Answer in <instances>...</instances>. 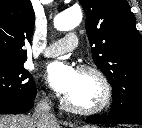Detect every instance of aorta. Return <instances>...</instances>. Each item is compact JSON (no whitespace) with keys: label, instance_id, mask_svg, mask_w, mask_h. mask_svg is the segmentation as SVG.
Here are the masks:
<instances>
[{"label":"aorta","instance_id":"obj_1","mask_svg":"<svg viewBox=\"0 0 142 128\" xmlns=\"http://www.w3.org/2000/svg\"><path fill=\"white\" fill-rule=\"evenodd\" d=\"M82 21V12L78 8H69L54 18V26L59 31L74 29Z\"/></svg>","mask_w":142,"mask_h":128}]
</instances>
